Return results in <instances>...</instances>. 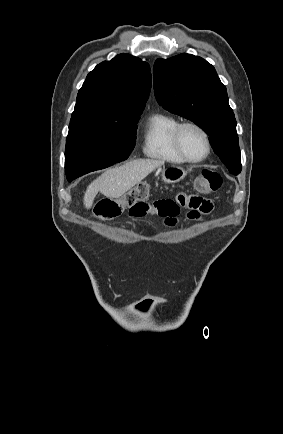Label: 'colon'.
Returning a JSON list of instances; mask_svg holds the SVG:
<instances>
[{"label":"colon","instance_id":"obj_1","mask_svg":"<svg viewBox=\"0 0 283 434\" xmlns=\"http://www.w3.org/2000/svg\"><path fill=\"white\" fill-rule=\"evenodd\" d=\"M223 182L220 173L212 170H203L197 180V187L202 192H215ZM148 183L141 182L118 199L105 198L100 200L94 209L95 217L109 220L118 217L125 209L145 201L149 196Z\"/></svg>","mask_w":283,"mask_h":434}]
</instances>
